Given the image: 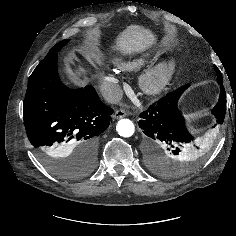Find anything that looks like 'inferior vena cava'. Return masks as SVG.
<instances>
[{"label":"inferior vena cava","mask_w":236,"mask_h":236,"mask_svg":"<svg viewBox=\"0 0 236 236\" xmlns=\"http://www.w3.org/2000/svg\"><path fill=\"white\" fill-rule=\"evenodd\" d=\"M103 97L108 103L116 104L122 99L123 91L119 85H113L103 92Z\"/></svg>","instance_id":"602c4592"}]
</instances>
